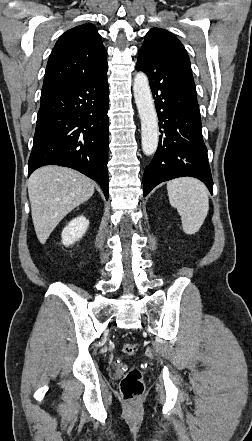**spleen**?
Returning <instances> with one entry per match:
<instances>
[{"label": "spleen", "instance_id": "3e777b00", "mask_svg": "<svg viewBox=\"0 0 252 441\" xmlns=\"http://www.w3.org/2000/svg\"><path fill=\"white\" fill-rule=\"evenodd\" d=\"M170 204L177 208L183 231L192 235L199 231L209 210L208 189L199 180L185 177L167 183Z\"/></svg>", "mask_w": 252, "mask_h": 441}]
</instances>
